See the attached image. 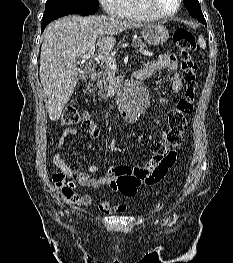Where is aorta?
Here are the masks:
<instances>
[{
    "label": "aorta",
    "mask_w": 233,
    "mask_h": 263,
    "mask_svg": "<svg viewBox=\"0 0 233 263\" xmlns=\"http://www.w3.org/2000/svg\"><path fill=\"white\" fill-rule=\"evenodd\" d=\"M147 103L146 88L137 81H127L121 91L119 104L127 118L137 120Z\"/></svg>",
    "instance_id": "762f6f07"
}]
</instances>
